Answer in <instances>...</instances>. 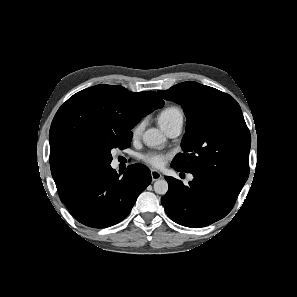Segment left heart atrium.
Returning a JSON list of instances; mask_svg holds the SVG:
<instances>
[{
	"instance_id": "39dd6f15",
	"label": "left heart atrium",
	"mask_w": 297,
	"mask_h": 297,
	"mask_svg": "<svg viewBox=\"0 0 297 297\" xmlns=\"http://www.w3.org/2000/svg\"><path fill=\"white\" fill-rule=\"evenodd\" d=\"M169 156L170 154L168 153L152 151L146 153L143 156V159L148 165L154 168H162L165 165Z\"/></svg>"
}]
</instances>
